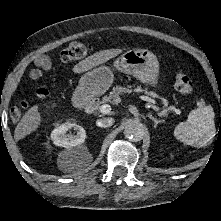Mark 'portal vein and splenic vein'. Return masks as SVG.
I'll return each instance as SVG.
<instances>
[{
	"instance_id": "18ae733b",
	"label": "portal vein and splenic vein",
	"mask_w": 221,
	"mask_h": 221,
	"mask_svg": "<svg viewBox=\"0 0 221 221\" xmlns=\"http://www.w3.org/2000/svg\"><path fill=\"white\" fill-rule=\"evenodd\" d=\"M142 100L147 101V102H153V99L147 97V96H141L140 97ZM171 109L176 113V114H181V111L177 109L176 107H171ZM111 111V106L109 104H104L100 107V112L104 115L108 114Z\"/></svg>"
}]
</instances>
